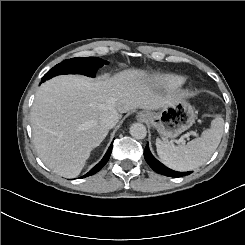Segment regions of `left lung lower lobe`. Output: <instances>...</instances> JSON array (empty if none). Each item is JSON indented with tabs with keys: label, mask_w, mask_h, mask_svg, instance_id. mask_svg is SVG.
I'll return each mask as SVG.
<instances>
[{
	"label": "left lung lower lobe",
	"mask_w": 245,
	"mask_h": 245,
	"mask_svg": "<svg viewBox=\"0 0 245 245\" xmlns=\"http://www.w3.org/2000/svg\"><path fill=\"white\" fill-rule=\"evenodd\" d=\"M144 157L146 162L149 164V166L157 173L169 177H182L185 175H189L191 172H177L174 170H171L164 166L162 163H160L157 159L154 158V156L151 154L149 150L148 143L144 150Z\"/></svg>",
	"instance_id": "1"
}]
</instances>
